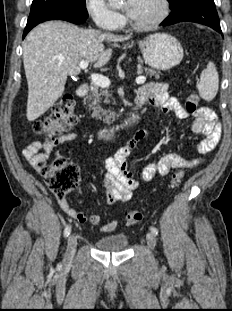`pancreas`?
Here are the masks:
<instances>
[{
  "mask_svg": "<svg viewBox=\"0 0 232 311\" xmlns=\"http://www.w3.org/2000/svg\"><path fill=\"white\" fill-rule=\"evenodd\" d=\"M138 71L139 73H142L144 71L147 75H149L150 77L154 76L156 79L160 77V72H157L151 68H143L141 65H138ZM103 97L104 103L110 102L109 97H111V94L109 90L100 88V86L92 82L90 86V94L86 97L89 109L93 110L92 118L96 120H103V122L110 124L116 119V115L113 112L105 111L102 109L101 101ZM86 100L84 102H86Z\"/></svg>",
  "mask_w": 232,
  "mask_h": 311,
  "instance_id": "obj_1",
  "label": "pancreas"
}]
</instances>
